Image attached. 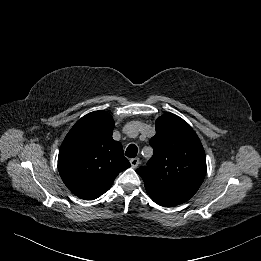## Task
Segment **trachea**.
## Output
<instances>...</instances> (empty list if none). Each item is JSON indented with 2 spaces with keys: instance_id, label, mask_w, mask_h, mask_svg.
Segmentation results:
<instances>
[{
  "instance_id": "3493384b",
  "label": "trachea",
  "mask_w": 261,
  "mask_h": 261,
  "mask_svg": "<svg viewBox=\"0 0 261 261\" xmlns=\"http://www.w3.org/2000/svg\"><path fill=\"white\" fill-rule=\"evenodd\" d=\"M138 152V148L135 144H130L126 149V156L129 158H135Z\"/></svg>"
}]
</instances>
